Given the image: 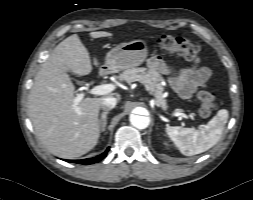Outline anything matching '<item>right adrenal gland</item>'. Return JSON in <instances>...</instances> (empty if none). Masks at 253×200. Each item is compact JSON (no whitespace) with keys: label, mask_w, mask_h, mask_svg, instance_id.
Listing matches in <instances>:
<instances>
[{"label":"right adrenal gland","mask_w":253,"mask_h":200,"mask_svg":"<svg viewBox=\"0 0 253 200\" xmlns=\"http://www.w3.org/2000/svg\"><path fill=\"white\" fill-rule=\"evenodd\" d=\"M109 113V110H106L102 112L101 117L99 119V125H100V130L103 132L105 131L106 124H107V114Z\"/></svg>","instance_id":"1"}]
</instances>
